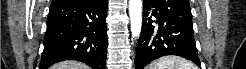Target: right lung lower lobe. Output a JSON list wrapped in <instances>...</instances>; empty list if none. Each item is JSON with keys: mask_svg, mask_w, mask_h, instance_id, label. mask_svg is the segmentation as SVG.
I'll use <instances>...</instances> for the list:
<instances>
[{"mask_svg": "<svg viewBox=\"0 0 246 69\" xmlns=\"http://www.w3.org/2000/svg\"><path fill=\"white\" fill-rule=\"evenodd\" d=\"M108 0L51 4L39 69L78 60L106 69Z\"/></svg>", "mask_w": 246, "mask_h": 69, "instance_id": "1", "label": "right lung lower lobe"}]
</instances>
